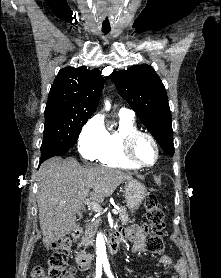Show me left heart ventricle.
<instances>
[{"label":"left heart ventricle","instance_id":"obj_1","mask_svg":"<svg viewBox=\"0 0 221 278\" xmlns=\"http://www.w3.org/2000/svg\"><path fill=\"white\" fill-rule=\"evenodd\" d=\"M134 155L141 163L152 164L156 157L155 147L148 138L140 137L135 143Z\"/></svg>","mask_w":221,"mask_h":278}]
</instances>
